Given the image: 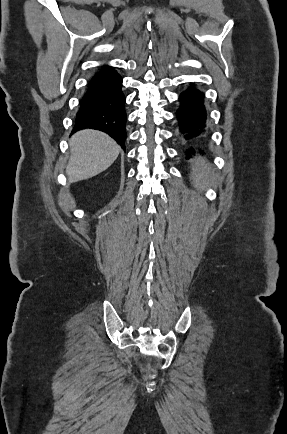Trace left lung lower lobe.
<instances>
[{
  "label": "left lung lower lobe",
  "mask_w": 287,
  "mask_h": 434,
  "mask_svg": "<svg viewBox=\"0 0 287 434\" xmlns=\"http://www.w3.org/2000/svg\"><path fill=\"white\" fill-rule=\"evenodd\" d=\"M179 101L180 107L176 113L179 138L190 148L200 146L207 135L204 95L191 86L181 93Z\"/></svg>",
  "instance_id": "left-lung-lower-lobe-1"
}]
</instances>
